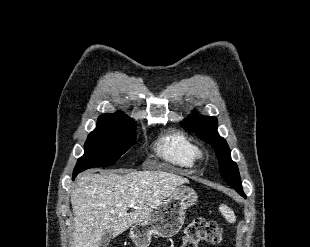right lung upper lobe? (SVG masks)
I'll list each match as a JSON object with an SVG mask.
<instances>
[{
  "label": "right lung upper lobe",
  "instance_id": "obj_1",
  "mask_svg": "<svg viewBox=\"0 0 310 247\" xmlns=\"http://www.w3.org/2000/svg\"><path fill=\"white\" fill-rule=\"evenodd\" d=\"M99 118L117 120V121L128 122V123H135L130 117H128L127 115L121 112H118L115 114H103Z\"/></svg>",
  "mask_w": 310,
  "mask_h": 247
}]
</instances>
